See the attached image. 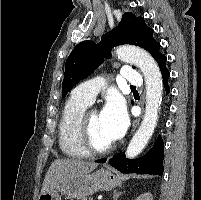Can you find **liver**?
Listing matches in <instances>:
<instances>
[{"instance_id":"obj_1","label":"liver","mask_w":201,"mask_h":200,"mask_svg":"<svg viewBox=\"0 0 201 200\" xmlns=\"http://www.w3.org/2000/svg\"><path fill=\"white\" fill-rule=\"evenodd\" d=\"M97 166V163L80 159H57L51 164L45 175L41 193L55 189L76 174L89 173Z\"/></svg>"}]
</instances>
